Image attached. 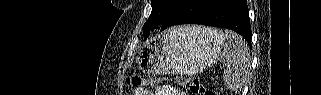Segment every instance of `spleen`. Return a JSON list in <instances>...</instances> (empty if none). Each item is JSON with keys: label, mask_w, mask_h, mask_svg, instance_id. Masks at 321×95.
I'll return each instance as SVG.
<instances>
[{"label": "spleen", "mask_w": 321, "mask_h": 95, "mask_svg": "<svg viewBox=\"0 0 321 95\" xmlns=\"http://www.w3.org/2000/svg\"><path fill=\"white\" fill-rule=\"evenodd\" d=\"M204 32H216L212 28H201ZM226 42L221 54L225 66L223 80L228 89L240 90L246 83L249 67L250 53L245 40L232 31H225Z\"/></svg>", "instance_id": "3e777b00"}]
</instances>
